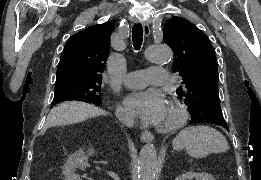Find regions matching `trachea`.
I'll list each match as a JSON object with an SVG mask.
<instances>
[{
	"label": "trachea",
	"mask_w": 261,
	"mask_h": 180,
	"mask_svg": "<svg viewBox=\"0 0 261 180\" xmlns=\"http://www.w3.org/2000/svg\"><path fill=\"white\" fill-rule=\"evenodd\" d=\"M132 40L135 50H139L143 41V27L140 23H135L132 28Z\"/></svg>",
	"instance_id": "obj_1"
}]
</instances>
